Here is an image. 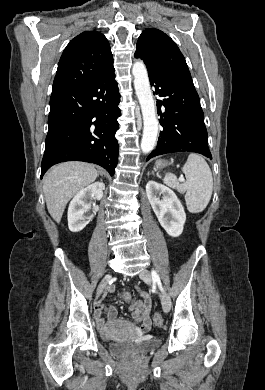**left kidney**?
Instances as JSON below:
<instances>
[{"mask_svg": "<svg viewBox=\"0 0 265 390\" xmlns=\"http://www.w3.org/2000/svg\"><path fill=\"white\" fill-rule=\"evenodd\" d=\"M147 198L161 226L171 237L183 232L186 221L184 208L176 194L168 187L150 180L146 184ZM162 195V199L158 197Z\"/></svg>", "mask_w": 265, "mask_h": 390, "instance_id": "obj_1", "label": "left kidney"}]
</instances>
